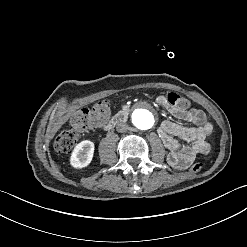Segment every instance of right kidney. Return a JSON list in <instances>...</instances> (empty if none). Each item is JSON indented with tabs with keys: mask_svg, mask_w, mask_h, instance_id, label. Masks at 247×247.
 I'll list each match as a JSON object with an SVG mask.
<instances>
[{
	"mask_svg": "<svg viewBox=\"0 0 247 247\" xmlns=\"http://www.w3.org/2000/svg\"><path fill=\"white\" fill-rule=\"evenodd\" d=\"M94 149V143L90 140H82L76 144L69 158L71 167L75 169L87 167L93 159Z\"/></svg>",
	"mask_w": 247,
	"mask_h": 247,
	"instance_id": "ca27d5eb",
	"label": "right kidney"
}]
</instances>
